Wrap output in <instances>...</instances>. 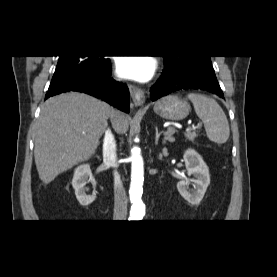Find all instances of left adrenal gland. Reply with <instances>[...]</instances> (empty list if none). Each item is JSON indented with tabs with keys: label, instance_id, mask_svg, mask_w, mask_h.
I'll return each mask as SVG.
<instances>
[{
	"label": "left adrenal gland",
	"instance_id": "1",
	"mask_svg": "<svg viewBox=\"0 0 277 277\" xmlns=\"http://www.w3.org/2000/svg\"><path fill=\"white\" fill-rule=\"evenodd\" d=\"M155 130H156L155 144L158 145L159 137L162 134V132L159 133L157 127H155ZM165 140H170L169 137H167V135H165Z\"/></svg>",
	"mask_w": 277,
	"mask_h": 277
}]
</instances>
